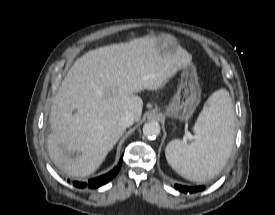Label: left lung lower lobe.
<instances>
[{"mask_svg":"<svg viewBox=\"0 0 275 215\" xmlns=\"http://www.w3.org/2000/svg\"><path fill=\"white\" fill-rule=\"evenodd\" d=\"M175 188L178 189L179 191L183 192V193H196L199 191H202L205 189V186H195V187H187V186H182V185H175Z\"/></svg>","mask_w":275,"mask_h":215,"instance_id":"0a47b994","label":"left lung lower lobe"}]
</instances>
